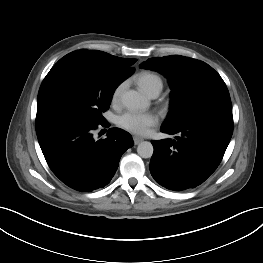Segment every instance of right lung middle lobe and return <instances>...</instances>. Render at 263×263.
Segmentation results:
<instances>
[{
    "instance_id": "1",
    "label": "right lung middle lobe",
    "mask_w": 263,
    "mask_h": 263,
    "mask_svg": "<svg viewBox=\"0 0 263 263\" xmlns=\"http://www.w3.org/2000/svg\"><path fill=\"white\" fill-rule=\"evenodd\" d=\"M128 74L81 58H61L44 78L37 99L36 127L53 122L98 125L118 85Z\"/></svg>"
}]
</instances>
